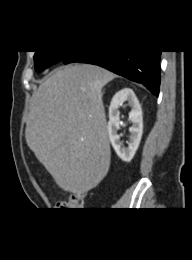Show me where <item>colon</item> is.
Wrapping results in <instances>:
<instances>
[{"mask_svg": "<svg viewBox=\"0 0 192 260\" xmlns=\"http://www.w3.org/2000/svg\"><path fill=\"white\" fill-rule=\"evenodd\" d=\"M85 196L83 194H74L66 201L57 203L59 210H76L83 206Z\"/></svg>", "mask_w": 192, "mask_h": 260, "instance_id": "obj_1", "label": "colon"}]
</instances>
